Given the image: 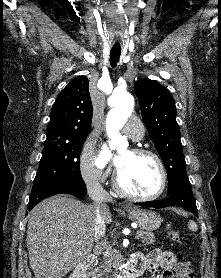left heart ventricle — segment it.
I'll return each mask as SVG.
<instances>
[{
	"instance_id": "1",
	"label": "left heart ventricle",
	"mask_w": 221,
	"mask_h": 278,
	"mask_svg": "<svg viewBox=\"0 0 221 278\" xmlns=\"http://www.w3.org/2000/svg\"><path fill=\"white\" fill-rule=\"evenodd\" d=\"M118 169L126 188L137 194H153L160 186V170L156 161L124 149L120 151Z\"/></svg>"
}]
</instances>
